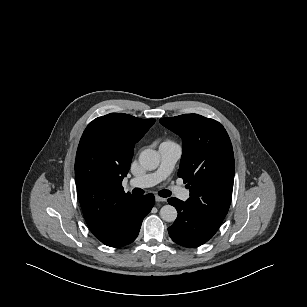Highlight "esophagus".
<instances>
[{
	"label": "esophagus",
	"instance_id": "obj_1",
	"mask_svg": "<svg viewBox=\"0 0 307 307\" xmlns=\"http://www.w3.org/2000/svg\"><path fill=\"white\" fill-rule=\"evenodd\" d=\"M156 202H165L167 199L161 196L156 195L155 196Z\"/></svg>",
	"mask_w": 307,
	"mask_h": 307
}]
</instances>
